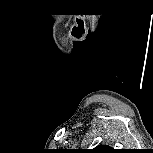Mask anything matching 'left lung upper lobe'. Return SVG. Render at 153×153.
I'll return each instance as SVG.
<instances>
[{
  "label": "left lung upper lobe",
  "instance_id": "left-lung-upper-lobe-1",
  "mask_svg": "<svg viewBox=\"0 0 153 153\" xmlns=\"http://www.w3.org/2000/svg\"><path fill=\"white\" fill-rule=\"evenodd\" d=\"M96 149H99V150H110V148L107 147V146H100V147L95 148V150Z\"/></svg>",
  "mask_w": 153,
  "mask_h": 153
}]
</instances>
